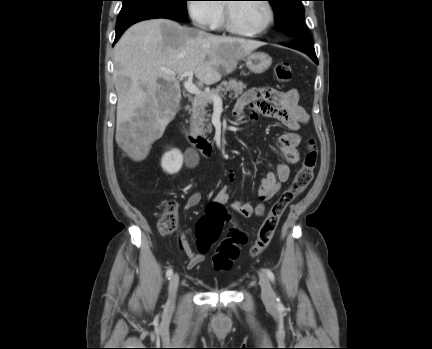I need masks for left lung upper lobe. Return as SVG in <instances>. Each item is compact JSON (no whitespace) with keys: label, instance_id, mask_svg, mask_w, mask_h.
<instances>
[{"label":"left lung upper lobe","instance_id":"1","mask_svg":"<svg viewBox=\"0 0 432 349\" xmlns=\"http://www.w3.org/2000/svg\"><path fill=\"white\" fill-rule=\"evenodd\" d=\"M275 12V26L292 39L311 40L304 24L302 0H268Z\"/></svg>","mask_w":432,"mask_h":349}]
</instances>
